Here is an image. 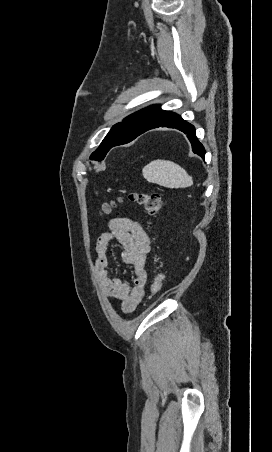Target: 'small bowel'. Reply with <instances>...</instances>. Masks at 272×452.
Returning a JSON list of instances; mask_svg holds the SVG:
<instances>
[{"instance_id":"obj_1","label":"small bowel","mask_w":272,"mask_h":452,"mask_svg":"<svg viewBox=\"0 0 272 452\" xmlns=\"http://www.w3.org/2000/svg\"><path fill=\"white\" fill-rule=\"evenodd\" d=\"M114 240L122 247L123 262L133 268L132 283H126L112 274L108 250ZM149 253V237L141 225L132 218L111 219L109 231L102 233L97 240L94 268L99 287L106 297L120 301L125 313L135 311L144 298Z\"/></svg>"}]
</instances>
